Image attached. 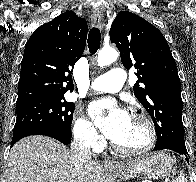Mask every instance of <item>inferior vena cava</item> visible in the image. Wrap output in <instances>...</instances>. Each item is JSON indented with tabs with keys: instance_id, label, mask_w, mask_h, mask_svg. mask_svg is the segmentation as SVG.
I'll list each match as a JSON object with an SVG mask.
<instances>
[{
	"instance_id": "602c4592",
	"label": "inferior vena cava",
	"mask_w": 196,
	"mask_h": 182,
	"mask_svg": "<svg viewBox=\"0 0 196 182\" xmlns=\"http://www.w3.org/2000/svg\"><path fill=\"white\" fill-rule=\"evenodd\" d=\"M90 141V135L83 134L71 143V154L76 169L83 168L84 163L92 159Z\"/></svg>"
}]
</instances>
